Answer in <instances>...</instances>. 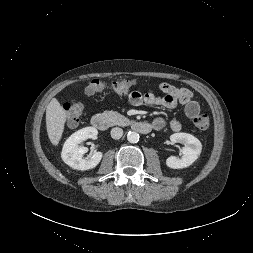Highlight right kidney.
Instances as JSON below:
<instances>
[{
    "label": "right kidney",
    "mask_w": 253,
    "mask_h": 253,
    "mask_svg": "<svg viewBox=\"0 0 253 253\" xmlns=\"http://www.w3.org/2000/svg\"><path fill=\"white\" fill-rule=\"evenodd\" d=\"M98 131L94 127H86L73 133L64 143L61 158L73 169L89 170L96 167L101 159L102 152H95L89 159H83V155L88 152V148L78 146L88 138H95Z\"/></svg>",
    "instance_id": "ca27d5eb"
}]
</instances>
